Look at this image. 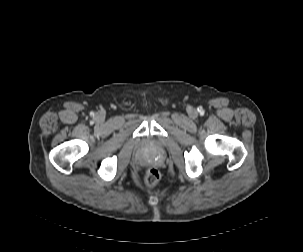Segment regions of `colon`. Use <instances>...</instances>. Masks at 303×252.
<instances>
[{"instance_id": "5ec220e1", "label": "colon", "mask_w": 303, "mask_h": 252, "mask_svg": "<svg viewBox=\"0 0 303 252\" xmlns=\"http://www.w3.org/2000/svg\"><path fill=\"white\" fill-rule=\"evenodd\" d=\"M160 180V172L156 168H150L145 175V184L148 187L155 186Z\"/></svg>"}]
</instances>
